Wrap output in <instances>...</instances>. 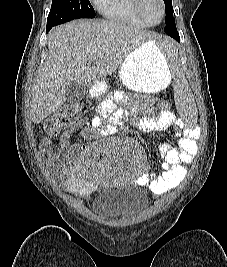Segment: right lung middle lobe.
I'll use <instances>...</instances> for the list:
<instances>
[{"mask_svg":"<svg viewBox=\"0 0 227 267\" xmlns=\"http://www.w3.org/2000/svg\"><path fill=\"white\" fill-rule=\"evenodd\" d=\"M94 17L95 11L89 0H53L47 26H56L78 18Z\"/></svg>","mask_w":227,"mask_h":267,"instance_id":"dd1d6c3e","label":"right lung middle lobe"}]
</instances>
